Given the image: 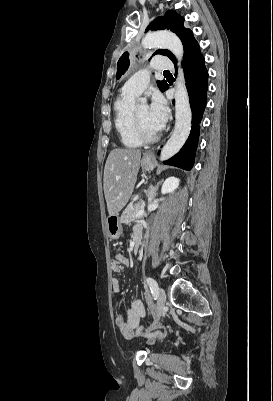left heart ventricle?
<instances>
[{
    "label": "left heart ventricle",
    "instance_id": "b2bd125f",
    "mask_svg": "<svg viewBox=\"0 0 273 401\" xmlns=\"http://www.w3.org/2000/svg\"><path fill=\"white\" fill-rule=\"evenodd\" d=\"M137 117L143 126V128L148 131V132H156V130L153 128V126L150 124L149 119H148V109L146 106H140L137 109H135Z\"/></svg>",
    "mask_w": 273,
    "mask_h": 401
}]
</instances>
